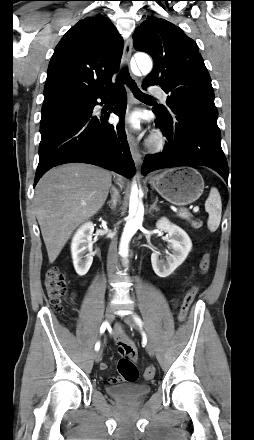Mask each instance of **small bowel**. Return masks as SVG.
Segmentation results:
<instances>
[{"instance_id":"1","label":"small bowel","mask_w":254,"mask_h":440,"mask_svg":"<svg viewBox=\"0 0 254 440\" xmlns=\"http://www.w3.org/2000/svg\"><path fill=\"white\" fill-rule=\"evenodd\" d=\"M113 339L118 346V352L121 355L128 356L133 361L138 357V349L135 343L129 338V336L124 332L122 326L117 324L113 330ZM101 370H106L108 368L107 363L102 362L100 364ZM109 384H117L123 382L121 376H111L107 378Z\"/></svg>"}]
</instances>
